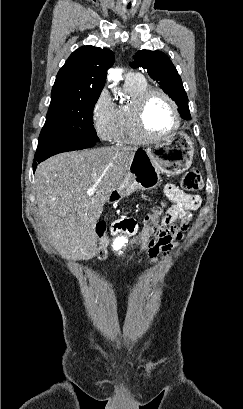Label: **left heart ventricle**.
Instances as JSON below:
<instances>
[{"label":"left heart ventricle","instance_id":"obj_1","mask_svg":"<svg viewBox=\"0 0 243 409\" xmlns=\"http://www.w3.org/2000/svg\"><path fill=\"white\" fill-rule=\"evenodd\" d=\"M144 122L153 135L168 132L174 126V116L169 103L160 95H153L147 102Z\"/></svg>","mask_w":243,"mask_h":409}]
</instances>
